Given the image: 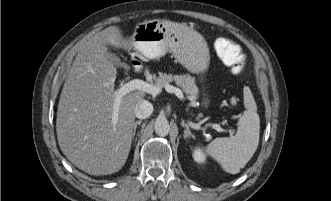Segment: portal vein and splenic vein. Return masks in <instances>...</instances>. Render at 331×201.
I'll list each match as a JSON object with an SVG mask.
<instances>
[{
  "label": "portal vein and splenic vein",
  "instance_id": "18ae733b",
  "mask_svg": "<svg viewBox=\"0 0 331 201\" xmlns=\"http://www.w3.org/2000/svg\"><path fill=\"white\" fill-rule=\"evenodd\" d=\"M135 90L143 91V92L149 93L153 96H156L161 92V87L152 85V84L145 82L143 80H140V79H134L127 83L122 84L115 93V100H114V104H113V114H112L113 126H116V124L118 122V117H119L118 111H119V107H120L122 98L125 95L129 94L131 91H135ZM165 90L168 93H174L180 99L184 98L182 91L178 87L168 84L165 86ZM211 126L218 132L223 131L221 126L218 124H211Z\"/></svg>",
  "mask_w": 331,
  "mask_h": 201
}]
</instances>
